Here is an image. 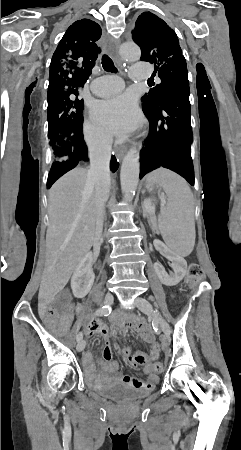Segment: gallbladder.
I'll return each mask as SVG.
<instances>
[{
	"instance_id": "bac80fb5",
	"label": "gallbladder",
	"mask_w": 241,
	"mask_h": 450,
	"mask_svg": "<svg viewBox=\"0 0 241 450\" xmlns=\"http://www.w3.org/2000/svg\"><path fill=\"white\" fill-rule=\"evenodd\" d=\"M59 298H60L61 300L67 301L66 299L68 298V293H67L66 291H61V292L59 293ZM62 306H64V305H62ZM65 306H66V305H65Z\"/></svg>"
}]
</instances>
